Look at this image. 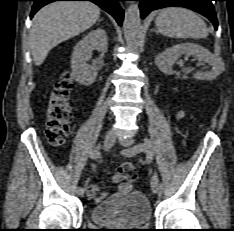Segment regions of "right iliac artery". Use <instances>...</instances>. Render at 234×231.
<instances>
[{
	"instance_id": "obj_1",
	"label": "right iliac artery",
	"mask_w": 234,
	"mask_h": 231,
	"mask_svg": "<svg viewBox=\"0 0 234 231\" xmlns=\"http://www.w3.org/2000/svg\"><path fill=\"white\" fill-rule=\"evenodd\" d=\"M99 157H100V152L97 149H95V150H93V151L90 152V158L91 159H97ZM87 184H88V181L85 182L83 188L79 187V189L82 190V191H84V189L86 188Z\"/></svg>"
}]
</instances>
